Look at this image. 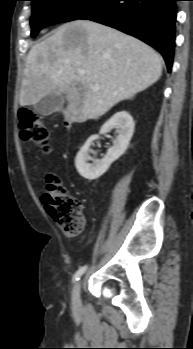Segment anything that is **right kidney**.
<instances>
[{
  "instance_id": "obj_1",
  "label": "right kidney",
  "mask_w": 193,
  "mask_h": 349,
  "mask_svg": "<svg viewBox=\"0 0 193 349\" xmlns=\"http://www.w3.org/2000/svg\"><path fill=\"white\" fill-rule=\"evenodd\" d=\"M134 121L132 116L126 111L114 114L101 128L100 134H106L112 129H116L117 137L113 141V146L101 160H95L92 164L90 160L89 148L93 141L99 139V135L91 136L83 145L75 158V166L78 173L88 180H95L102 176L127 150L129 142L134 132Z\"/></svg>"
}]
</instances>
